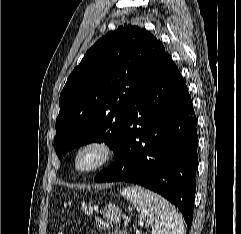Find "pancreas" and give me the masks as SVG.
<instances>
[{
  "label": "pancreas",
  "mask_w": 241,
  "mask_h": 234,
  "mask_svg": "<svg viewBox=\"0 0 241 234\" xmlns=\"http://www.w3.org/2000/svg\"><path fill=\"white\" fill-rule=\"evenodd\" d=\"M112 234H126V232L122 230H115L114 232H112Z\"/></svg>",
  "instance_id": "obj_1"
}]
</instances>
